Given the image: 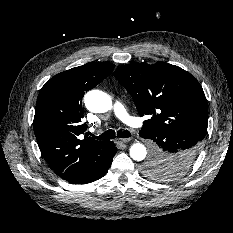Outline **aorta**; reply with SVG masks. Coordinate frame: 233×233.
<instances>
[{
    "mask_svg": "<svg viewBox=\"0 0 233 233\" xmlns=\"http://www.w3.org/2000/svg\"><path fill=\"white\" fill-rule=\"evenodd\" d=\"M86 108L94 113H105L112 108L111 97L103 91L91 90L85 94ZM147 154L146 147L141 143H135L130 148V156L133 160L142 161Z\"/></svg>",
    "mask_w": 233,
    "mask_h": 233,
    "instance_id": "obj_1",
    "label": "aorta"
}]
</instances>
